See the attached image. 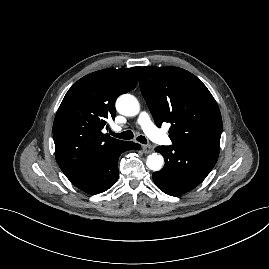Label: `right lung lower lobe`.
<instances>
[{
	"label": "right lung lower lobe",
	"instance_id": "right-lung-lower-lobe-1",
	"mask_svg": "<svg viewBox=\"0 0 269 269\" xmlns=\"http://www.w3.org/2000/svg\"><path fill=\"white\" fill-rule=\"evenodd\" d=\"M139 144L125 142L109 155L98 160L78 177L70 179L71 183L89 194H98L108 190L118 180V159L120 154L131 149L138 150Z\"/></svg>",
	"mask_w": 269,
	"mask_h": 269
}]
</instances>
